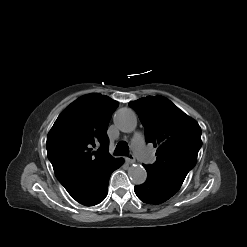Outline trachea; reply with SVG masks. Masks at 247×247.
I'll return each instance as SVG.
<instances>
[{
    "mask_svg": "<svg viewBox=\"0 0 247 247\" xmlns=\"http://www.w3.org/2000/svg\"><path fill=\"white\" fill-rule=\"evenodd\" d=\"M129 153V147L126 142H119L115 149V155L126 156Z\"/></svg>",
    "mask_w": 247,
    "mask_h": 247,
    "instance_id": "trachea-1",
    "label": "trachea"
}]
</instances>
